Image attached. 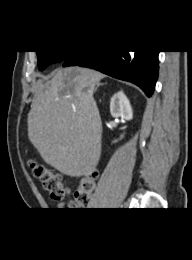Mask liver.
<instances>
[{"instance_id": "liver-1", "label": "liver", "mask_w": 192, "mask_h": 260, "mask_svg": "<svg viewBox=\"0 0 192 260\" xmlns=\"http://www.w3.org/2000/svg\"><path fill=\"white\" fill-rule=\"evenodd\" d=\"M103 77L93 69L67 67L37 83L28 138L43 160L64 175H89L100 160L102 123L93 91Z\"/></svg>"}]
</instances>
